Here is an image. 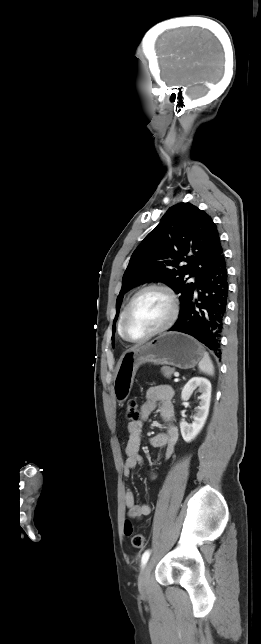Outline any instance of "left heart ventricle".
<instances>
[{
  "label": "left heart ventricle",
  "mask_w": 261,
  "mask_h": 644,
  "mask_svg": "<svg viewBox=\"0 0 261 644\" xmlns=\"http://www.w3.org/2000/svg\"><path fill=\"white\" fill-rule=\"evenodd\" d=\"M170 315V302L165 293L149 290L134 302L127 329L133 338H141L162 326Z\"/></svg>",
  "instance_id": "1"
}]
</instances>
